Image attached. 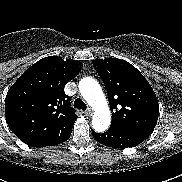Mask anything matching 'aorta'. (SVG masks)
<instances>
[{"mask_svg": "<svg viewBox=\"0 0 182 182\" xmlns=\"http://www.w3.org/2000/svg\"><path fill=\"white\" fill-rule=\"evenodd\" d=\"M79 90L86 102L94 109L92 127L97 132H104L110 125V110L98 82L85 77L79 83Z\"/></svg>", "mask_w": 182, "mask_h": 182, "instance_id": "obj_1", "label": "aorta"}]
</instances>
